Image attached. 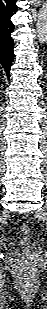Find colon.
I'll return each instance as SVG.
<instances>
[{
  "label": "colon",
  "instance_id": "1",
  "mask_svg": "<svg viewBox=\"0 0 47 309\" xmlns=\"http://www.w3.org/2000/svg\"><path fill=\"white\" fill-rule=\"evenodd\" d=\"M21 231L24 233V234H28L30 232V227L28 225H23L21 227Z\"/></svg>",
  "mask_w": 47,
  "mask_h": 309
}]
</instances>
